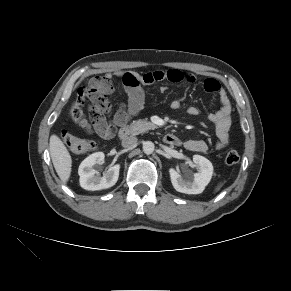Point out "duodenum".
<instances>
[{"mask_svg": "<svg viewBox=\"0 0 291 291\" xmlns=\"http://www.w3.org/2000/svg\"><path fill=\"white\" fill-rule=\"evenodd\" d=\"M132 134V128L128 125H122L119 130V137L121 139H126ZM164 141L170 145H178L179 139L174 134H166L164 136Z\"/></svg>", "mask_w": 291, "mask_h": 291, "instance_id": "410a0bca", "label": "duodenum"}]
</instances>
